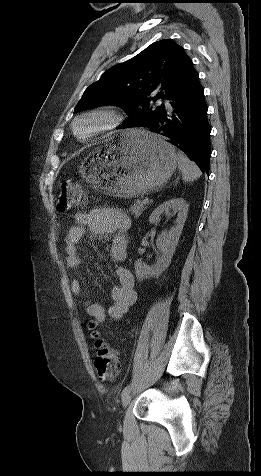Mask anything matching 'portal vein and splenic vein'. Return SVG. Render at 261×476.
Listing matches in <instances>:
<instances>
[{
	"instance_id": "obj_1",
	"label": "portal vein and splenic vein",
	"mask_w": 261,
	"mask_h": 476,
	"mask_svg": "<svg viewBox=\"0 0 261 476\" xmlns=\"http://www.w3.org/2000/svg\"><path fill=\"white\" fill-rule=\"evenodd\" d=\"M143 204H147L149 203V198L148 197H145L142 201Z\"/></svg>"
}]
</instances>
